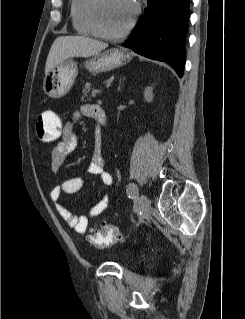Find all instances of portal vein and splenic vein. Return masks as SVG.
<instances>
[{
	"label": "portal vein and splenic vein",
	"instance_id": "1",
	"mask_svg": "<svg viewBox=\"0 0 245 319\" xmlns=\"http://www.w3.org/2000/svg\"><path fill=\"white\" fill-rule=\"evenodd\" d=\"M103 93V90L102 89H99V90H94L92 92V96L95 97L97 94H102Z\"/></svg>",
	"mask_w": 245,
	"mask_h": 319
}]
</instances>
